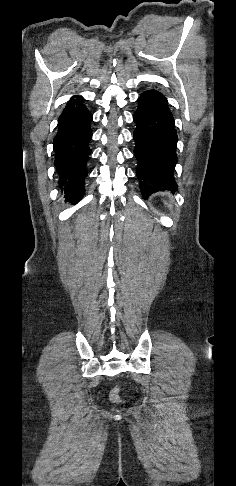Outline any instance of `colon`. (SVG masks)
<instances>
[{"label": "colon", "instance_id": "5ec220e1", "mask_svg": "<svg viewBox=\"0 0 236 486\" xmlns=\"http://www.w3.org/2000/svg\"><path fill=\"white\" fill-rule=\"evenodd\" d=\"M110 399L115 402H121L120 388L118 386L114 387L110 393Z\"/></svg>", "mask_w": 236, "mask_h": 486}]
</instances>
